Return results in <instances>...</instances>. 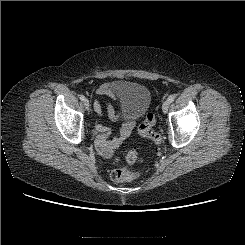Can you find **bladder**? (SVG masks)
I'll return each mask as SVG.
<instances>
[{
    "mask_svg": "<svg viewBox=\"0 0 245 245\" xmlns=\"http://www.w3.org/2000/svg\"><path fill=\"white\" fill-rule=\"evenodd\" d=\"M125 112L132 117L139 118L144 116L149 110L151 94L149 89L135 82L122 83V89L118 90Z\"/></svg>",
    "mask_w": 245,
    "mask_h": 245,
    "instance_id": "obj_1",
    "label": "bladder"
}]
</instances>
